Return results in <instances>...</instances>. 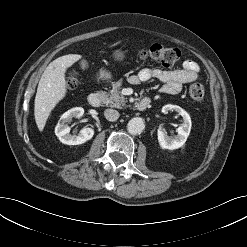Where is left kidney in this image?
Wrapping results in <instances>:
<instances>
[{"label": "left kidney", "instance_id": "1", "mask_svg": "<svg viewBox=\"0 0 247 247\" xmlns=\"http://www.w3.org/2000/svg\"><path fill=\"white\" fill-rule=\"evenodd\" d=\"M176 111L179 115L182 116L184 123L177 129L178 135L175 137H171L167 135V132L159 129L158 130V142L162 149L175 150L183 147L185 144L187 137L191 131V118L190 115L181 107L177 105H165L162 108L163 113H167L168 111Z\"/></svg>", "mask_w": 247, "mask_h": 247}]
</instances>
